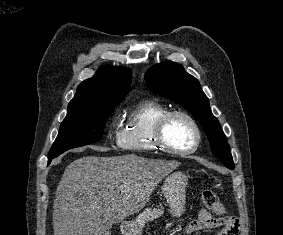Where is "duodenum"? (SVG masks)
<instances>
[{
    "mask_svg": "<svg viewBox=\"0 0 283 235\" xmlns=\"http://www.w3.org/2000/svg\"><path fill=\"white\" fill-rule=\"evenodd\" d=\"M122 228H123V229L127 228V223H123V224H122Z\"/></svg>",
    "mask_w": 283,
    "mask_h": 235,
    "instance_id": "duodenum-1",
    "label": "duodenum"
}]
</instances>
